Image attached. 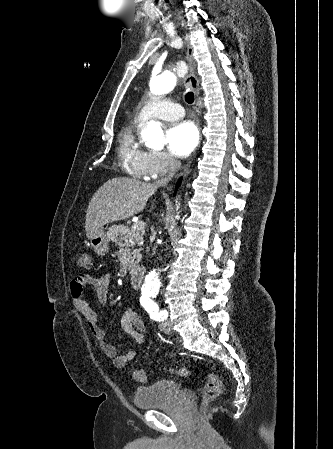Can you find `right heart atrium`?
<instances>
[{"label": "right heart atrium", "mask_w": 333, "mask_h": 449, "mask_svg": "<svg viewBox=\"0 0 333 449\" xmlns=\"http://www.w3.org/2000/svg\"><path fill=\"white\" fill-rule=\"evenodd\" d=\"M177 167V161L167 152L149 151L144 156L146 177L154 179L171 174Z\"/></svg>", "instance_id": "1"}]
</instances>
